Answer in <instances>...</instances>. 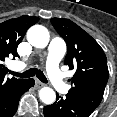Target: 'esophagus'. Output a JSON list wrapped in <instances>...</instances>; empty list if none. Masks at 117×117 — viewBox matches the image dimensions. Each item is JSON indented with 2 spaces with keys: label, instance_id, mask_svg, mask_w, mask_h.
<instances>
[{
  "label": "esophagus",
  "instance_id": "34e87169",
  "mask_svg": "<svg viewBox=\"0 0 117 117\" xmlns=\"http://www.w3.org/2000/svg\"><path fill=\"white\" fill-rule=\"evenodd\" d=\"M43 86H44V83H42V82L39 81V80L36 81V87H37V88H41V87H43Z\"/></svg>",
  "mask_w": 117,
  "mask_h": 117
}]
</instances>
